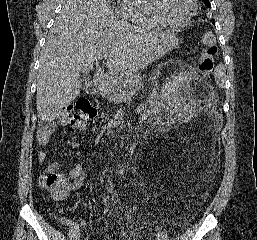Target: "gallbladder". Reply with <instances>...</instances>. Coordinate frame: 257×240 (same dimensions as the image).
Here are the masks:
<instances>
[{"label": "gallbladder", "instance_id": "1", "mask_svg": "<svg viewBox=\"0 0 257 240\" xmlns=\"http://www.w3.org/2000/svg\"><path fill=\"white\" fill-rule=\"evenodd\" d=\"M80 82H81V87H82L83 89H84V88L86 87V85L88 84V80L85 79V78L81 79Z\"/></svg>", "mask_w": 257, "mask_h": 240}]
</instances>
